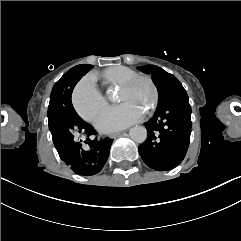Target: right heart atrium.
Instances as JSON below:
<instances>
[{
    "instance_id": "obj_1",
    "label": "right heart atrium",
    "mask_w": 241,
    "mask_h": 241,
    "mask_svg": "<svg viewBox=\"0 0 241 241\" xmlns=\"http://www.w3.org/2000/svg\"><path fill=\"white\" fill-rule=\"evenodd\" d=\"M100 78L96 74H88L83 83L72 93V104L78 115L87 122H92L105 108L106 100L97 91Z\"/></svg>"
}]
</instances>
